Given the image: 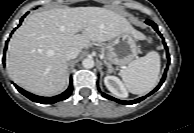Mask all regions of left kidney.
<instances>
[{
  "label": "left kidney",
  "mask_w": 194,
  "mask_h": 133,
  "mask_svg": "<svg viewBox=\"0 0 194 133\" xmlns=\"http://www.w3.org/2000/svg\"><path fill=\"white\" fill-rule=\"evenodd\" d=\"M104 83L108 90L118 97H127V91L118 77L106 76Z\"/></svg>",
  "instance_id": "1"
}]
</instances>
